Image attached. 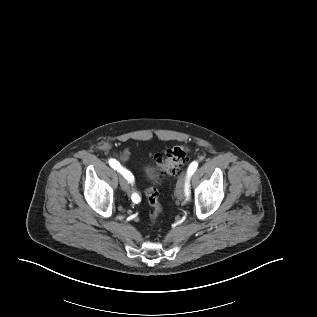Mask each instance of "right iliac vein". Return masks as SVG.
Wrapping results in <instances>:
<instances>
[{
    "mask_svg": "<svg viewBox=\"0 0 317 317\" xmlns=\"http://www.w3.org/2000/svg\"><path fill=\"white\" fill-rule=\"evenodd\" d=\"M119 182H120V186L121 188L125 191V192H129L130 191V186L128 184V182L126 181V179L123 177V175H119Z\"/></svg>",
    "mask_w": 317,
    "mask_h": 317,
    "instance_id": "63e3f726",
    "label": "right iliac vein"
}]
</instances>
